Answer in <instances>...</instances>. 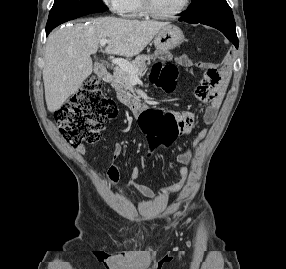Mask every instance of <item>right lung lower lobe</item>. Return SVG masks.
I'll list each match as a JSON object with an SVG mask.
<instances>
[{"mask_svg": "<svg viewBox=\"0 0 286 269\" xmlns=\"http://www.w3.org/2000/svg\"><path fill=\"white\" fill-rule=\"evenodd\" d=\"M52 31V28L46 29V36Z\"/></svg>", "mask_w": 286, "mask_h": 269, "instance_id": "right-lung-lower-lobe-1", "label": "right lung lower lobe"}]
</instances>
